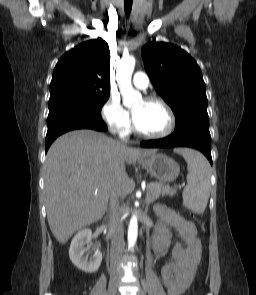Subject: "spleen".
<instances>
[{"label": "spleen", "mask_w": 256, "mask_h": 295, "mask_svg": "<svg viewBox=\"0 0 256 295\" xmlns=\"http://www.w3.org/2000/svg\"><path fill=\"white\" fill-rule=\"evenodd\" d=\"M187 162V186L183 190V205L196 214H202L210 196V165L200 153L189 148H179Z\"/></svg>", "instance_id": "obj_1"}]
</instances>
